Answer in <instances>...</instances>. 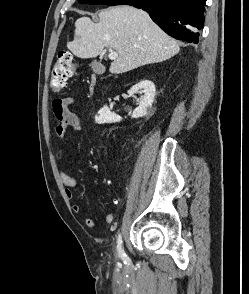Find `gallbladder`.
<instances>
[{
  "label": "gallbladder",
  "instance_id": "obj_1",
  "mask_svg": "<svg viewBox=\"0 0 249 294\" xmlns=\"http://www.w3.org/2000/svg\"><path fill=\"white\" fill-rule=\"evenodd\" d=\"M90 66L96 74H102L105 71V67L97 61L91 62Z\"/></svg>",
  "mask_w": 249,
  "mask_h": 294
}]
</instances>
